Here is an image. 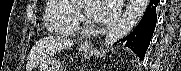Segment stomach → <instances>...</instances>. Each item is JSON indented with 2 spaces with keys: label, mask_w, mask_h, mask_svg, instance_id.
Masks as SVG:
<instances>
[{
  "label": "stomach",
  "mask_w": 181,
  "mask_h": 71,
  "mask_svg": "<svg viewBox=\"0 0 181 71\" xmlns=\"http://www.w3.org/2000/svg\"><path fill=\"white\" fill-rule=\"evenodd\" d=\"M79 53L84 58H90L93 56V50L90 47H81ZM40 71H62L60 67L51 61L45 62L39 67Z\"/></svg>",
  "instance_id": "1"
}]
</instances>
